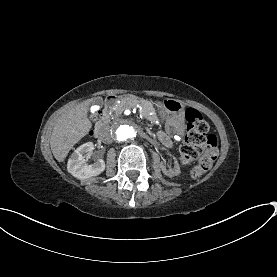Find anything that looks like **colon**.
Returning a JSON list of instances; mask_svg holds the SVG:
<instances>
[{
  "instance_id": "5ec220e1",
  "label": "colon",
  "mask_w": 277,
  "mask_h": 277,
  "mask_svg": "<svg viewBox=\"0 0 277 277\" xmlns=\"http://www.w3.org/2000/svg\"><path fill=\"white\" fill-rule=\"evenodd\" d=\"M101 116L96 111L92 118L97 120ZM187 122V135L180 147V163L188 165L195 162L191 174L198 177L204 174L215 161L217 152V138L207 135L208 124L201 113L195 109L185 112Z\"/></svg>"
}]
</instances>
